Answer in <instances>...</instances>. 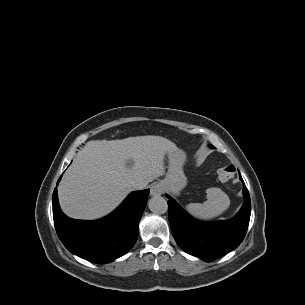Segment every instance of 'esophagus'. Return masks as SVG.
Wrapping results in <instances>:
<instances>
[{"mask_svg": "<svg viewBox=\"0 0 305 305\" xmlns=\"http://www.w3.org/2000/svg\"><path fill=\"white\" fill-rule=\"evenodd\" d=\"M163 192V188L160 184L154 183L150 187V195L151 196H159Z\"/></svg>", "mask_w": 305, "mask_h": 305, "instance_id": "esophagus-1", "label": "esophagus"}]
</instances>
